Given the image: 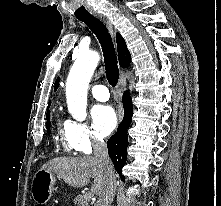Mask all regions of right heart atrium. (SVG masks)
<instances>
[{
	"mask_svg": "<svg viewBox=\"0 0 221 206\" xmlns=\"http://www.w3.org/2000/svg\"><path fill=\"white\" fill-rule=\"evenodd\" d=\"M71 133L73 148L82 153H90L95 146L103 142V138L83 122L72 121Z\"/></svg>",
	"mask_w": 221,
	"mask_h": 206,
	"instance_id": "obj_1",
	"label": "right heart atrium"
}]
</instances>
